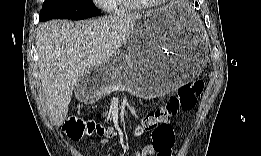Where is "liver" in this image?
I'll return each instance as SVG.
<instances>
[{
    "label": "liver",
    "mask_w": 261,
    "mask_h": 156,
    "mask_svg": "<svg viewBox=\"0 0 261 156\" xmlns=\"http://www.w3.org/2000/svg\"><path fill=\"white\" fill-rule=\"evenodd\" d=\"M139 13L80 22L51 20L36 35L39 77L49 117L61 126L75 84L89 69L110 60L126 40Z\"/></svg>",
    "instance_id": "obj_1"
}]
</instances>
